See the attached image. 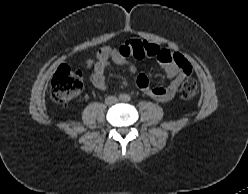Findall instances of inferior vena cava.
I'll list each match as a JSON object with an SVG mask.
<instances>
[{
	"label": "inferior vena cava",
	"mask_w": 248,
	"mask_h": 194,
	"mask_svg": "<svg viewBox=\"0 0 248 194\" xmlns=\"http://www.w3.org/2000/svg\"><path fill=\"white\" fill-rule=\"evenodd\" d=\"M118 102V99L114 96H108L106 99H105V104L106 105H114Z\"/></svg>",
	"instance_id": "inferior-vena-cava-1"
}]
</instances>
